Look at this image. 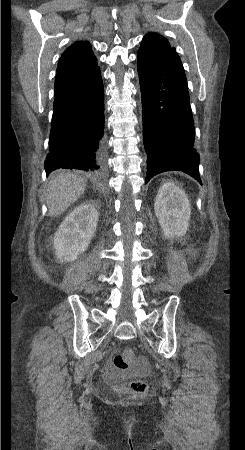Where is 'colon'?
<instances>
[{
	"mask_svg": "<svg viewBox=\"0 0 245 450\" xmlns=\"http://www.w3.org/2000/svg\"><path fill=\"white\" fill-rule=\"evenodd\" d=\"M133 359L134 353L132 349L125 348L121 352L115 354L113 358V365L119 371H126L130 368ZM115 389L126 390L136 396H141L148 392V385L143 381L134 380L124 385H115Z\"/></svg>",
	"mask_w": 245,
	"mask_h": 450,
	"instance_id": "colon-1",
	"label": "colon"
}]
</instances>
